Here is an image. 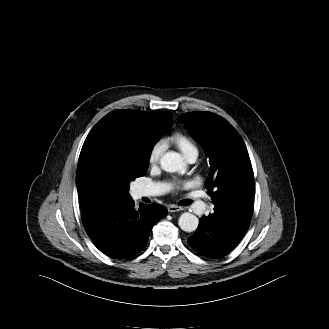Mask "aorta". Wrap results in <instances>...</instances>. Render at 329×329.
Here are the masks:
<instances>
[{
	"label": "aorta",
	"mask_w": 329,
	"mask_h": 329,
	"mask_svg": "<svg viewBox=\"0 0 329 329\" xmlns=\"http://www.w3.org/2000/svg\"><path fill=\"white\" fill-rule=\"evenodd\" d=\"M160 165L166 172L184 173L186 170V164L183 161V157L179 153L173 151H169L161 157ZM178 224L183 231L190 233L197 229L199 220L195 215L189 212H184L179 217Z\"/></svg>",
	"instance_id": "762f6f07"
}]
</instances>
